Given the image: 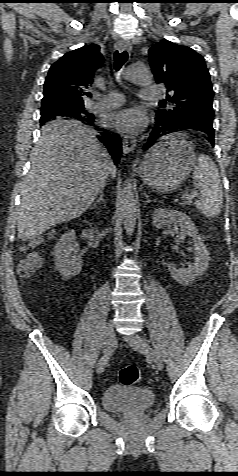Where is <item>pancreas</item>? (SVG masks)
Here are the masks:
<instances>
[{"label": "pancreas", "instance_id": "cf45deb5", "mask_svg": "<svg viewBox=\"0 0 238 476\" xmlns=\"http://www.w3.org/2000/svg\"><path fill=\"white\" fill-rule=\"evenodd\" d=\"M191 203H192V198L187 199V200L184 201L181 205L185 206V205H190Z\"/></svg>", "mask_w": 238, "mask_h": 476}]
</instances>
